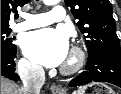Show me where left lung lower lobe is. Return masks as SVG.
<instances>
[{
  "instance_id": "1",
  "label": "left lung lower lobe",
  "mask_w": 121,
  "mask_h": 94,
  "mask_svg": "<svg viewBox=\"0 0 121 94\" xmlns=\"http://www.w3.org/2000/svg\"><path fill=\"white\" fill-rule=\"evenodd\" d=\"M85 69L71 80L70 87L85 85L93 81L109 82L121 87V54L89 55Z\"/></svg>"
}]
</instances>
